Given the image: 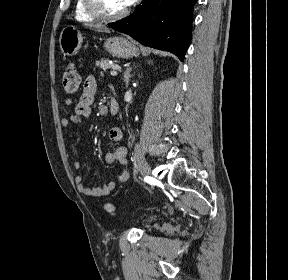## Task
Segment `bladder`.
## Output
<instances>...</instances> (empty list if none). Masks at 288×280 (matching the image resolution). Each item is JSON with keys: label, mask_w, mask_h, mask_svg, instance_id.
Listing matches in <instances>:
<instances>
[{"label": "bladder", "mask_w": 288, "mask_h": 280, "mask_svg": "<svg viewBox=\"0 0 288 280\" xmlns=\"http://www.w3.org/2000/svg\"><path fill=\"white\" fill-rule=\"evenodd\" d=\"M156 219V217L155 216H149V217H147V221H153V220H155Z\"/></svg>", "instance_id": "1"}]
</instances>
